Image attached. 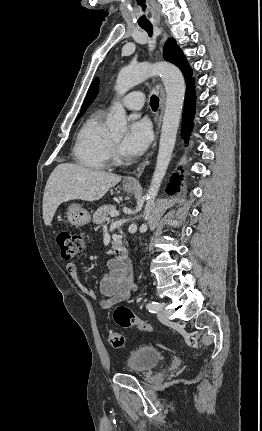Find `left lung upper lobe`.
Listing matches in <instances>:
<instances>
[{"instance_id": "5c2ea615", "label": "left lung upper lobe", "mask_w": 262, "mask_h": 431, "mask_svg": "<svg viewBox=\"0 0 262 431\" xmlns=\"http://www.w3.org/2000/svg\"><path fill=\"white\" fill-rule=\"evenodd\" d=\"M163 56L165 60L177 65L183 72L187 83L193 82L192 70L189 67L181 49L177 46L174 39H168L164 46Z\"/></svg>"}]
</instances>
